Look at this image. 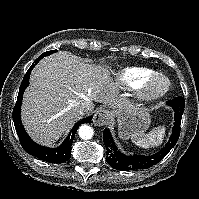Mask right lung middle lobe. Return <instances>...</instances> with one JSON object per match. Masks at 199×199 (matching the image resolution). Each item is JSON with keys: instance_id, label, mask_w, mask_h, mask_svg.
I'll list each match as a JSON object with an SVG mask.
<instances>
[{"instance_id": "right-lung-middle-lobe-1", "label": "right lung middle lobe", "mask_w": 199, "mask_h": 199, "mask_svg": "<svg viewBox=\"0 0 199 199\" xmlns=\"http://www.w3.org/2000/svg\"><path fill=\"white\" fill-rule=\"evenodd\" d=\"M54 52H57V50H52V51L44 52V53L41 55V57L43 58L44 56H48V55H50V54H52V53H54Z\"/></svg>"}]
</instances>
